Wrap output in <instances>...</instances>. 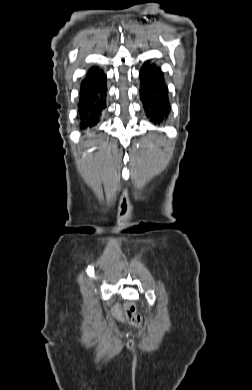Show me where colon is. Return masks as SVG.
<instances>
[{
  "label": "colon",
  "mask_w": 252,
  "mask_h": 390,
  "mask_svg": "<svg viewBox=\"0 0 252 390\" xmlns=\"http://www.w3.org/2000/svg\"><path fill=\"white\" fill-rule=\"evenodd\" d=\"M125 316L130 324L139 327L142 324V317L137 313L136 306L133 302H128L125 306Z\"/></svg>",
  "instance_id": "obj_1"
}]
</instances>
